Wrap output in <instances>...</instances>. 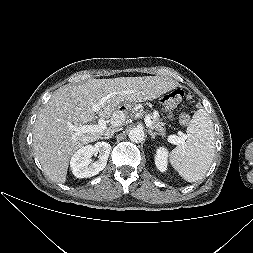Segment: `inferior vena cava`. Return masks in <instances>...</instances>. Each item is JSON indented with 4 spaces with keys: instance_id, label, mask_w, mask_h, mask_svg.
Listing matches in <instances>:
<instances>
[{
    "instance_id": "1",
    "label": "inferior vena cava",
    "mask_w": 253,
    "mask_h": 253,
    "mask_svg": "<svg viewBox=\"0 0 253 253\" xmlns=\"http://www.w3.org/2000/svg\"><path fill=\"white\" fill-rule=\"evenodd\" d=\"M120 130H121V128L120 129H113V130L107 131L104 135H105V137L113 136L115 132L120 131Z\"/></svg>"
}]
</instances>
